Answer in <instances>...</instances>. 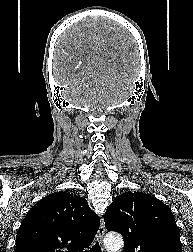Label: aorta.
I'll list each match as a JSON object with an SVG mask.
<instances>
[{"label": "aorta", "mask_w": 193, "mask_h": 252, "mask_svg": "<svg viewBox=\"0 0 193 252\" xmlns=\"http://www.w3.org/2000/svg\"><path fill=\"white\" fill-rule=\"evenodd\" d=\"M104 245L109 252H121L124 245L123 237L119 234H108L104 238Z\"/></svg>", "instance_id": "1"}]
</instances>
